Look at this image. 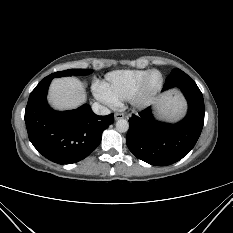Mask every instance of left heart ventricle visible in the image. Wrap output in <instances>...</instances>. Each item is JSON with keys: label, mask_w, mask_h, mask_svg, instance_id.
<instances>
[{"label": "left heart ventricle", "mask_w": 233, "mask_h": 233, "mask_svg": "<svg viewBox=\"0 0 233 233\" xmlns=\"http://www.w3.org/2000/svg\"><path fill=\"white\" fill-rule=\"evenodd\" d=\"M160 81V76L158 73H153L148 80V88L154 89Z\"/></svg>", "instance_id": "b2bd125f"}]
</instances>
